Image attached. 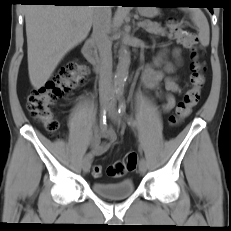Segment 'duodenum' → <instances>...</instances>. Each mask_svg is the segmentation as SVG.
Returning <instances> with one entry per match:
<instances>
[{"mask_svg": "<svg viewBox=\"0 0 231 231\" xmlns=\"http://www.w3.org/2000/svg\"><path fill=\"white\" fill-rule=\"evenodd\" d=\"M83 54L96 71L100 69V60L96 45L93 41H87L83 46Z\"/></svg>", "mask_w": 231, "mask_h": 231, "instance_id": "duodenum-1", "label": "duodenum"}]
</instances>
